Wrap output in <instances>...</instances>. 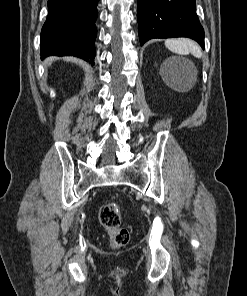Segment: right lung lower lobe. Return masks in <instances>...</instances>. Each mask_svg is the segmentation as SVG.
Here are the masks:
<instances>
[{
  "label": "right lung lower lobe",
  "instance_id": "right-lung-lower-lobe-1",
  "mask_svg": "<svg viewBox=\"0 0 247 296\" xmlns=\"http://www.w3.org/2000/svg\"><path fill=\"white\" fill-rule=\"evenodd\" d=\"M98 0H48L41 31V58L76 56L93 63Z\"/></svg>",
  "mask_w": 247,
  "mask_h": 296
}]
</instances>
